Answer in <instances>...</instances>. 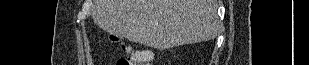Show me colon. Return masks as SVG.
Returning a JSON list of instances; mask_svg holds the SVG:
<instances>
[{
	"mask_svg": "<svg viewBox=\"0 0 309 65\" xmlns=\"http://www.w3.org/2000/svg\"><path fill=\"white\" fill-rule=\"evenodd\" d=\"M121 51L122 56L118 60V65H141L152 55L150 51L134 50L126 44H121Z\"/></svg>",
	"mask_w": 309,
	"mask_h": 65,
	"instance_id": "obj_1",
	"label": "colon"
}]
</instances>
